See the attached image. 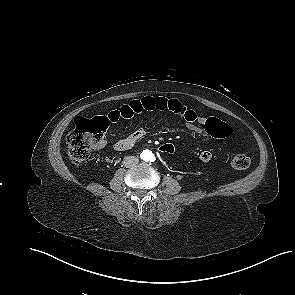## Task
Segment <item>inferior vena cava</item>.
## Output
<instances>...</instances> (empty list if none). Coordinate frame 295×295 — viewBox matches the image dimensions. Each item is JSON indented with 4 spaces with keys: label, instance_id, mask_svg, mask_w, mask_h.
Here are the masks:
<instances>
[{
    "label": "inferior vena cava",
    "instance_id": "inferior-vena-cava-1",
    "mask_svg": "<svg viewBox=\"0 0 295 295\" xmlns=\"http://www.w3.org/2000/svg\"><path fill=\"white\" fill-rule=\"evenodd\" d=\"M139 163V159L135 156H127L123 160V164L126 168L136 166Z\"/></svg>",
    "mask_w": 295,
    "mask_h": 295
}]
</instances>
